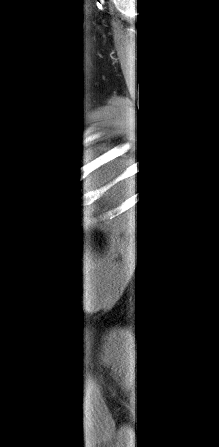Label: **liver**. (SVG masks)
Wrapping results in <instances>:
<instances>
[{
  "label": "liver",
  "instance_id": "6515ba94",
  "mask_svg": "<svg viewBox=\"0 0 219 447\" xmlns=\"http://www.w3.org/2000/svg\"><path fill=\"white\" fill-rule=\"evenodd\" d=\"M101 174L100 173H98L96 176H95V181L96 182H102V183H108V182H110V181H112L114 178H115V175H116V173H115V171L113 172L112 170H109V169H106L105 170V173H104V175L103 176H100ZM127 188V183H124V182H122V183H118L113 189H112V191L114 192L115 190H117L118 192H120V193H122V192H124V190Z\"/></svg>",
  "mask_w": 219,
  "mask_h": 447
}]
</instances>
